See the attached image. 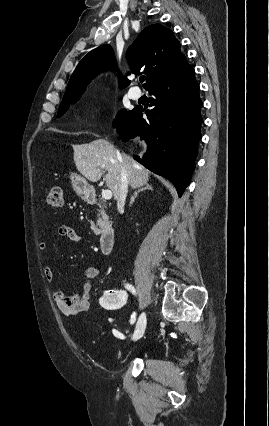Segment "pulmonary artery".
Here are the masks:
<instances>
[{"instance_id":"obj_1","label":"pulmonary artery","mask_w":269,"mask_h":426,"mask_svg":"<svg viewBox=\"0 0 269 426\" xmlns=\"http://www.w3.org/2000/svg\"><path fill=\"white\" fill-rule=\"evenodd\" d=\"M141 91L137 87H133L129 90L128 95L133 100H138L141 97Z\"/></svg>"}]
</instances>
